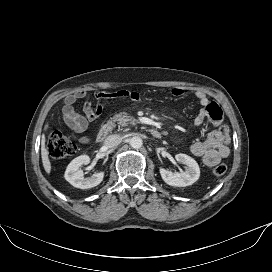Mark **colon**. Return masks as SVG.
Returning <instances> with one entry per match:
<instances>
[{
  "label": "colon",
  "mask_w": 272,
  "mask_h": 272,
  "mask_svg": "<svg viewBox=\"0 0 272 272\" xmlns=\"http://www.w3.org/2000/svg\"><path fill=\"white\" fill-rule=\"evenodd\" d=\"M75 143L60 131L52 132L48 137V151L55 159H63L75 153ZM227 167L224 163L217 164L212 173L219 177L225 174Z\"/></svg>",
  "instance_id": "colon-1"
}]
</instances>
